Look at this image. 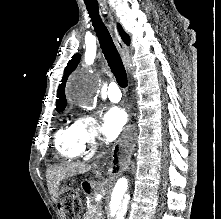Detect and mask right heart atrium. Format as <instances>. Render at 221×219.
<instances>
[{"label":"right heart atrium","instance_id":"obj_1","mask_svg":"<svg viewBox=\"0 0 221 219\" xmlns=\"http://www.w3.org/2000/svg\"><path fill=\"white\" fill-rule=\"evenodd\" d=\"M74 125L84 151L95 149L100 135V126L96 117L91 114L80 115Z\"/></svg>","mask_w":221,"mask_h":219}]
</instances>
